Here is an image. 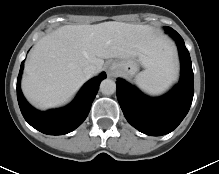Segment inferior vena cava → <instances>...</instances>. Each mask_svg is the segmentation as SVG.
I'll return each instance as SVG.
<instances>
[{"instance_id": "1", "label": "inferior vena cava", "mask_w": 219, "mask_h": 174, "mask_svg": "<svg viewBox=\"0 0 219 174\" xmlns=\"http://www.w3.org/2000/svg\"><path fill=\"white\" fill-rule=\"evenodd\" d=\"M97 71L96 66L94 65H87L84 69L83 72L87 78H90L93 74H95Z\"/></svg>"}]
</instances>
